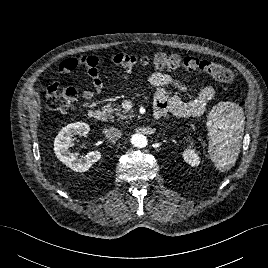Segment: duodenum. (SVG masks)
Here are the masks:
<instances>
[{
  "instance_id": "410a0bca",
  "label": "duodenum",
  "mask_w": 268,
  "mask_h": 268,
  "mask_svg": "<svg viewBox=\"0 0 268 268\" xmlns=\"http://www.w3.org/2000/svg\"><path fill=\"white\" fill-rule=\"evenodd\" d=\"M90 117L95 121H102L104 119V112L100 109L91 110L89 113Z\"/></svg>"
}]
</instances>
